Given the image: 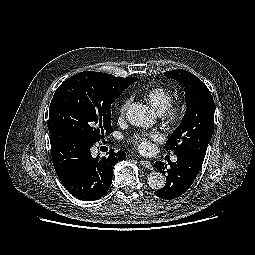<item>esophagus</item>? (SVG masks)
Returning <instances> with one entry per match:
<instances>
[{"label": "esophagus", "mask_w": 255, "mask_h": 255, "mask_svg": "<svg viewBox=\"0 0 255 255\" xmlns=\"http://www.w3.org/2000/svg\"><path fill=\"white\" fill-rule=\"evenodd\" d=\"M140 165L147 168V169H153V166L151 164L150 161H147V160H140L139 161Z\"/></svg>", "instance_id": "esophagus-1"}]
</instances>
